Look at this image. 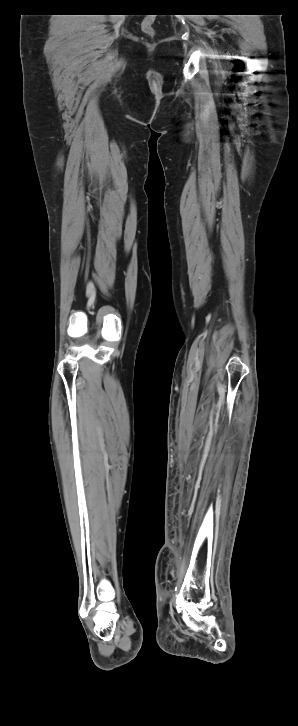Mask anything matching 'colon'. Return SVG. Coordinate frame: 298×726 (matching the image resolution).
Returning a JSON list of instances; mask_svg holds the SVG:
<instances>
[{
	"instance_id": "5ec220e1",
	"label": "colon",
	"mask_w": 298,
	"mask_h": 726,
	"mask_svg": "<svg viewBox=\"0 0 298 726\" xmlns=\"http://www.w3.org/2000/svg\"><path fill=\"white\" fill-rule=\"evenodd\" d=\"M154 19L152 17L145 18L141 23L142 31L149 35L154 36L155 30L153 28Z\"/></svg>"
}]
</instances>
